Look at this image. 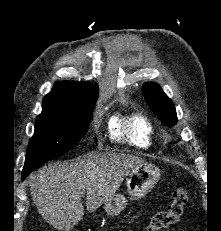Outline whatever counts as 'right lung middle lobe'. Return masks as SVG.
Masks as SVG:
<instances>
[{
	"label": "right lung middle lobe",
	"instance_id": "dd1d6c3e",
	"mask_svg": "<svg viewBox=\"0 0 221 231\" xmlns=\"http://www.w3.org/2000/svg\"><path fill=\"white\" fill-rule=\"evenodd\" d=\"M95 104L73 111H43L36 118L24 169L47 163L68 152L87 132Z\"/></svg>",
	"mask_w": 221,
	"mask_h": 231
}]
</instances>
